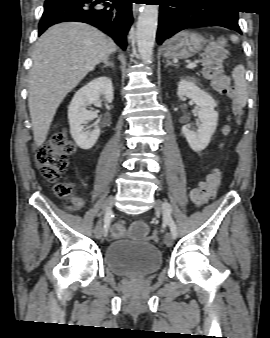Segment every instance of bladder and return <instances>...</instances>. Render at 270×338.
<instances>
[{
    "mask_svg": "<svg viewBox=\"0 0 270 338\" xmlns=\"http://www.w3.org/2000/svg\"><path fill=\"white\" fill-rule=\"evenodd\" d=\"M161 251L145 242H110L105 248V265L113 274L125 278L147 277L162 265Z\"/></svg>",
    "mask_w": 270,
    "mask_h": 338,
    "instance_id": "obj_1",
    "label": "bladder"
}]
</instances>
